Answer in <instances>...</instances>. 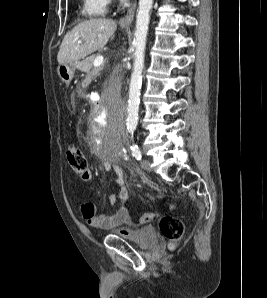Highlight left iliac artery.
Here are the masks:
<instances>
[{
  "label": "left iliac artery",
  "instance_id": "left-iliac-artery-1",
  "mask_svg": "<svg viewBox=\"0 0 267 298\" xmlns=\"http://www.w3.org/2000/svg\"><path fill=\"white\" fill-rule=\"evenodd\" d=\"M131 150H132L133 157H135L137 160H141V158H142L141 151H140L138 145L134 142V140L131 144Z\"/></svg>",
  "mask_w": 267,
  "mask_h": 298
}]
</instances>
